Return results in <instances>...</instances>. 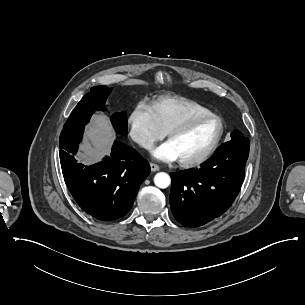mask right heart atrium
Returning <instances> with one entry per match:
<instances>
[{
	"mask_svg": "<svg viewBox=\"0 0 305 305\" xmlns=\"http://www.w3.org/2000/svg\"><path fill=\"white\" fill-rule=\"evenodd\" d=\"M130 138L141 148L151 149L165 135L152 105L138 103L127 118Z\"/></svg>",
	"mask_w": 305,
	"mask_h": 305,
	"instance_id": "d8ad5b80",
	"label": "right heart atrium"
}]
</instances>
